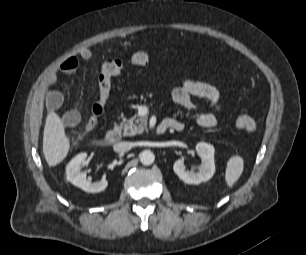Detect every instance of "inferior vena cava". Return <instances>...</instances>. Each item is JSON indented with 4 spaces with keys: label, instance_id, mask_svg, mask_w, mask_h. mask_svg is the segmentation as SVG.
Wrapping results in <instances>:
<instances>
[{
    "label": "inferior vena cava",
    "instance_id": "inferior-vena-cava-1",
    "mask_svg": "<svg viewBox=\"0 0 306 255\" xmlns=\"http://www.w3.org/2000/svg\"><path fill=\"white\" fill-rule=\"evenodd\" d=\"M132 148V144L130 142H119L113 146L115 152L124 153L129 151Z\"/></svg>",
    "mask_w": 306,
    "mask_h": 255
}]
</instances>
